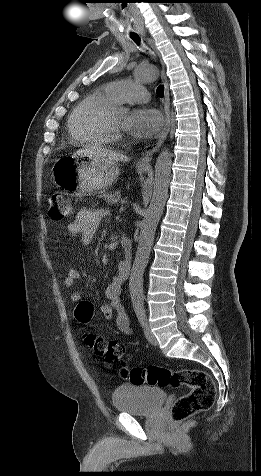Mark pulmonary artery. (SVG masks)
Wrapping results in <instances>:
<instances>
[{"label":"pulmonary artery","instance_id":"e3ab8cb5","mask_svg":"<svg viewBox=\"0 0 261 476\" xmlns=\"http://www.w3.org/2000/svg\"><path fill=\"white\" fill-rule=\"evenodd\" d=\"M104 90L117 102L142 103L150 98L148 91L141 83L133 80H122L110 83Z\"/></svg>","mask_w":261,"mask_h":476}]
</instances>
